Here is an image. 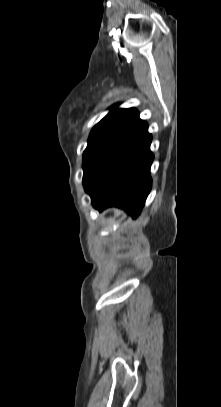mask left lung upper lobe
<instances>
[{
	"label": "left lung upper lobe",
	"mask_w": 221,
	"mask_h": 407,
	"mask_svg": "<svg viewBox=\"0 0 221 407\" xmlns=\"http://www.w3.org/2000/svg\"><path fill=\"white\" fill-rule=\"evenodd\" d=\"M137 113V110L133 108H115L95 125L90 133L88 145L83 153V182L99 158L128 127Z\"/></svg>",
	"instance_id": "5c2ea615"
}]
</instances>
